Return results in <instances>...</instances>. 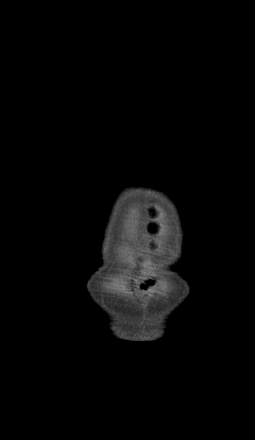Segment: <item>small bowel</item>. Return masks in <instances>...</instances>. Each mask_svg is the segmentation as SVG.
Masks as SVG:
<instances>
[{
  "instance_id": "1",
  "label": "small bowel",
  "mask_w": 255,
  "mask_h": 440,
  "mask_svg": "<svg viewBox=\"0 0 255 440\" xmlns=\"http://www.w3.org/2000/svg\"><path fill=\"white\" fill-rule=\"evenodd\" d=\"M154 284H155L154 279H152V278H145V279H143L140 282L139 287L143 291H148V290H150L154 286Z\"/></svg>"
}]
</instances>
